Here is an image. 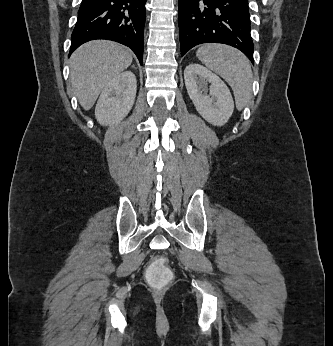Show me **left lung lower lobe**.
Masks as SVG:
<instances>
[{"mask_svg": "<svg viewBox=\"0 0 333 346\" xmlns=\"http://www.w3.org/2000/svg\"><path fill=\"white\" fill-rule=\"evenodd\" d=\"M181 56L202 43H223L242 51L252 63L248 0H178Z\"/></svg>", "mask_w": 333, "mask_h": 346, "instance_id": "obj_1", "label": "left lung lower lobe"}]
</instances>
